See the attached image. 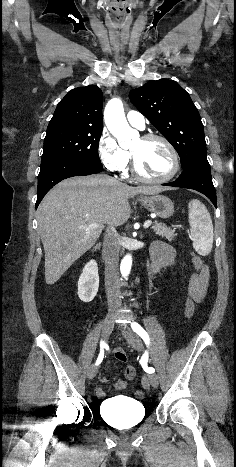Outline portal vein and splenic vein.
Masks as SVG:
<instances>
[{
    "label": "portal vein and splenic vein",
    "instance_id": "1",
    "mask_svg": "<svg viewBox=\"0 0 236 467\" xmlns=\"http://www.w3.org/2000/svg\"><path fill=\"white\" fill-rule=\"evenodd\" d=\"M152 224V221L151 220H147L145 223H144V228L147 229L149 226H151ZM103 228V226L99 225V224H91L88 226L89 229H96V228Z\"/></svg>",
    "mask_w": 236,
    "mask_h": 467
}]
</instances>
